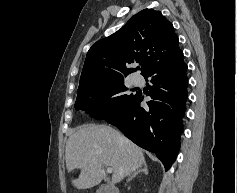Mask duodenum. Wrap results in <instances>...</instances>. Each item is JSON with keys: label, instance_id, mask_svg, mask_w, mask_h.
Masks as SVG:
<instances>
[{"label": "duodenum", "instance_id": "1", "mask_svg": "<svg viewBox=\"0 0 237 193\" xmlns=\"http://www.w3.org/2000/svg\"><path fill=\"white\" fill-rule=\"evenodd\" d=\"M110 193H117V191L116 190H111Z\"/></svg>", "mask_w": 237, "mask_h": 193}]
</instances>
